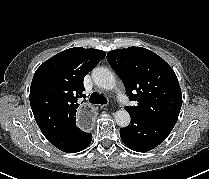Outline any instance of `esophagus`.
Instances as JSON below:
<instances>
[{
	"label": "esophagus",
	"instance_id": "34e87169",
	"mask_svg": "<svg viewBox=\"0 0 209 179\" xmlns=\"http://www.w3.org/2000/svg\"><path fill=\"white\" fill-rule=\"evenodd\" d=\"M77 118L79 121V127L83 131H90L94 127V108L91 105H81L77 109Z\"/></svg>",
	"mask_w": 209,
	"mask_h": 179
}]
</instances>
